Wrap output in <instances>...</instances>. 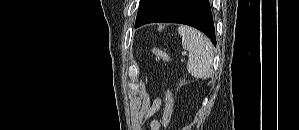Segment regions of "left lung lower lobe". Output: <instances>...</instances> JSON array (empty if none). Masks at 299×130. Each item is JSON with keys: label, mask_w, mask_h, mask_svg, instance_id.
I'll list each match as a JSON object with an SVG mask.
<instances>
[{"label": "left lung lower lobe", "mask_w": 299, "mask_h": 130, "mask_svg": "<svg viewBox=\"0 0 299 130\" xmlns=\"http://www.w3.org/2000/svg\"><path fill=\"white\" fill-rule=\"evenodd\" d=\"M152 22L190 25L206 34L216 45L215 28L208 0H151L147 15L135 28Z\"/></svg>", "instance_id": "0a47b994"}]
</instances>
